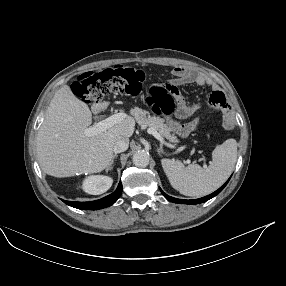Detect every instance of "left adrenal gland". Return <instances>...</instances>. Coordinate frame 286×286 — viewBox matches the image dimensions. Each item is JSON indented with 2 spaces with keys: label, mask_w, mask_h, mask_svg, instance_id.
I'll return each mask as SVG.
<instances>
[{
  "label": "left adrenal gland",
  "mask_w": 286,
  "mask_h": 286,
  "mask_svg": "<svg viewBox=\"0 0 286 286\" xmlns=\"http://www.w3.org/2000/svg\"><path fill=\"white\" fill-rule=\"evenodd\" d=\"M158 154L161 156V150L157 148Z\"/></svg>",
  "instance_id": "obj_1"
}]
</instances>
